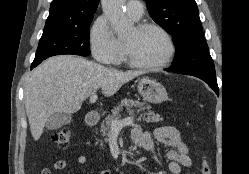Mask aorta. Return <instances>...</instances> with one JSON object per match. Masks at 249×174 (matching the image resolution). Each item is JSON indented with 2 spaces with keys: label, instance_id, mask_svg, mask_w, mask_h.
Returning a JSON list of instances; mask_svg holds the SVG:
<instances>
[{
  "label": "aorta",
  "instance_id": "aorta-1",
  "mask_svg": "<svg viewBox=\"0 0 249 174\" xmlns=\"http://www.w3.org/2000/svg\"><path fill=\"white\" fill-rule=\"evenodd\" d=\"M125 2L126 0H102L103 11L119 36L125 35L133 27L123 11Z\"/></svg>",
  "mask_w": 249,
  "mask_h": 174
}]
</instances>
